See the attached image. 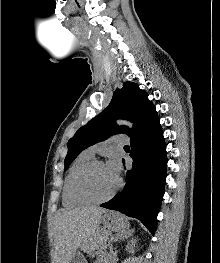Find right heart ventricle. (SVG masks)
Masks as SVG:
<instances>
[{"instance_id":"1","label":"right heart ventricle","mask_w":220,"mask_h":263,"mask_svg":"<svg viewBox=\"0 0 220 263\" xmlns=\"http://www.w3.org/2000/svg\"><path fill=\"white\" fill-rule=\"evenodd\" d=\"M93 156L88 154L86 151L80 153L69 167L67 172L63 192H62V203L65 207H76L84 204L77 200L72 193V183L77 172L88 162L92 160Z\"/></svg>"}]
</instances>
